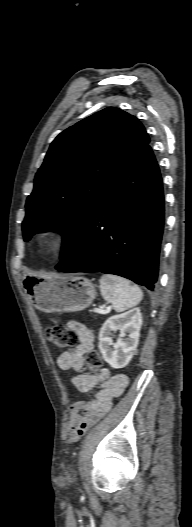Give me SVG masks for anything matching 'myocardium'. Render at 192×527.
I'll return each instance as SVG.
<instances>
[{
  "instance_id": "1",
  "label": "myocardium",
  "mask_w": 192,
  "mask_h": 527,
  "mask_svg": "<svg viewBox=\"0 0 192 527\" xmlns=\"http://www.w3.org/2000/svg\"><path fill=\"white\" fill-rule=\"evenodd\" d=\"M66 242V233L61 228H50L38 237L39 250L45 255H53L62 250Z\"/></svg>"
}]
</instances>
